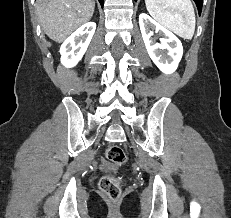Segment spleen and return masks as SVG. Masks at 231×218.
<instances>
[{
    "label": "spleen",
    "mask_w": 231,
    "mask_h": 218,
    "mask_svg": "<svg viewBox=\"0 0 231 218\" xmlns=\"http://www.w3.org/2000/svg\"><path fill=\"white\" fill-rule=\"evenodd\" d=\"M149 14L183 39H192L195 13L190 0H145Z\"/></svg>",
    "instance_id": "spleen-1"
}]
</instances>
